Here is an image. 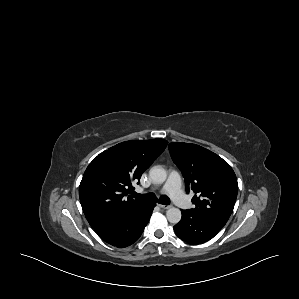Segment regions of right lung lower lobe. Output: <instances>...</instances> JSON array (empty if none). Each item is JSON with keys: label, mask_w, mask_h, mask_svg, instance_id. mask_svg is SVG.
<instances>
[{"label": "right lung lower lobe", "mask_w": 299, "mask_h": 299, "mask_svg": "<svg viewBox=\"0 0 299 299\" xmlns=\"http://www.w3.org/2000/svg\"><path fill=\"white\" fill-rule=\"evenodd\" d=\"M154 207V204H145L116 219L99 224L93 229L112 246L118 248L129 246L141 236Z\"/></svg>", "instance_id": "right-lung-lower-lobe-1"}]
</instances>
